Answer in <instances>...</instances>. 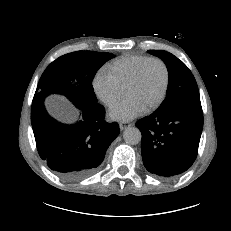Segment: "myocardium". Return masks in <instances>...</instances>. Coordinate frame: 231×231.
I'll use <instances>...</instances> for the list:
<instances>
[{"label":"myocardium","instance_id":"f54148a6","mask_svg":"<svg viewBox=\"0 0 231 231\" xmlns=\"http://www.w3.org/2000/svg\"><path fill=\"white\" fill-rule=\"evenodd\" d=\"M152 62H158L159 64H161V66L164 69V74H165V79H164V84H163V88L162 91L159 95V97L157 98V100L151 104L149 107L146 108V111H153L155 109H157L162 102L164 101L168 88H169V84H170V72H169V68L167 66V64L160 58L158 57H151L149 59H147L146 61H144L136 70L135 74L133 75V77L131 78V80L129 81L126 90H128L129 88H132L133 86H135L139 80L141 79V76L145 70V68L147 67L148 64L152 63Z\"/></svg>","mask_w":231,"mask_h":231}]
</instances>
